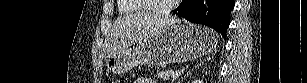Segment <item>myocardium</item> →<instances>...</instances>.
I'll return each instance as SVG.
<instances>
[{
    "mask_svg": "<svg viewBox=\"0 0 307 83\" xmlns=\"http://www.w3.org/2000/svg\"><path fill=\"white\" fill-rule=\"evenodd\" d=\"M136 1L139 4H141L146 11L154 15H158V16L169 14L176 7V5L180 2V0H172L170 3H168L164 7L153 10L149 7L147 0H136Z\"/></svg>",
    "mask_w": 307,
    "mask_h": 83,
    "instance_id": "1",
    "label": "myocardium"
}]
</instances>
